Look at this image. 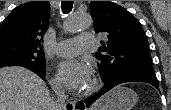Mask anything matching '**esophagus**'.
<instances>
[{"label":"esophagus","instance_id":"obj_1","mask_svg":"<svg viewBox=\"0 0 171 110\" xmlns=\"http://www.w3.org/2000/svg\"><path fill=\"white\" fill-rule=\"evenodd\" d=\"M75 102H67L65 107H66V110H75Z\"/></svg>","mask_w":171,"mask_h":110}]
</instances>
